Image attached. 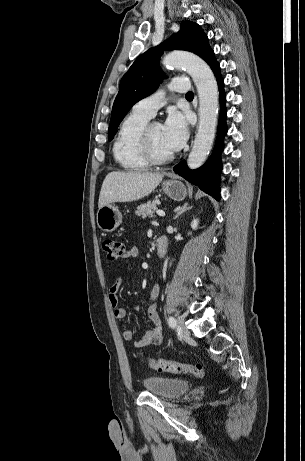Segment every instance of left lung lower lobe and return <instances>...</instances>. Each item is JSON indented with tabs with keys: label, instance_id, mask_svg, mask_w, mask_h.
Returning <instances> with one entry per match:
<instances>
[{
	"label": "left lung lower lobe",
	"instance_id": "1",
	"mask_svg": "<svg viewBox=\"0 0 305 461\" xmlns=\"http://www.w3.org/2000/svg\"><path fill=\"white\" fill-rule=\"evenodd\" d=\"M212 71L214 72L220 91V117L218 122V133L216 138V144L213 153L209 160L202 167L196 170H189L186 162L183 160L174 167V172L194 185H197L201 190L213 196L216 200L220 199V171L222 169L221 164V152L223 151V139L227 133L226 126V108H225V94L223 89V78L220 74V65L214 58L210 63Z\"/></svg>",
	"mask_w": 305,
	"mask_h": 461
}]
</instances>
